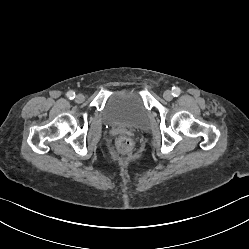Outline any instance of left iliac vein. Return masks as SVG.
<instances>
[{"instance_id": "1", "label": "left iliac vein", "mask_w": 249, "mask_h": 249, "mask_svg": "<svg viewBox=\"0 0 249 249\" xmlns=\"http://www.w3.org/2000/svg\"><path fill=\"white\" fill-rule=\"evenodd\" d=\"M163 97L165 100L167 101H171L172 98H173V95L170 91H165L164 94H163Z\"/></svg>"}]
</instances>
